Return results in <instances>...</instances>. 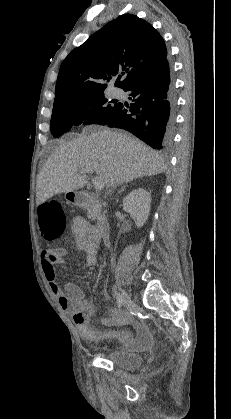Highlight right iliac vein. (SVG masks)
<instances>
[{
    "label": "right iliac vein",
    "mask_w": 231,
    "mask_h": 419,
    "mask_svg": "<svg viewBox=\"0 0 231 419\" xmlns=\"http://www.w3.org/2000/svg\"><path fill=\"white\" fill-rule=\"evenodd\" d=\"M121 297H122V304L124 305V307L131 306L132 301L124 290H121Z\"/></svg>",
    "instance_id": "right-iliac-vein-1"
}]
</instances>
